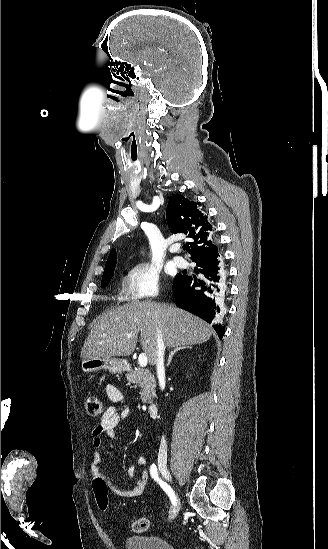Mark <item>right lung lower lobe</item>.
Masks as SVG:
<instances>
[{"label":"right lung lower lobe","instance_id":"right-lung-lower-lobe-1","mask_svg":"<svg viewBox=\"0 0 328 549\" xmlns=\"http://www.w3.org/2000/svg\"><path fill=\"white\" fill-rule=\"evenodd\" d=\"M198 276L183 273L175 278L173 295L178 307L211 323L219 338L225 328L220 323L218 297L224 287V265L217 255L193 260Z\"/></svg>","mask_w":328,"mask_h":549}]
</instances>
